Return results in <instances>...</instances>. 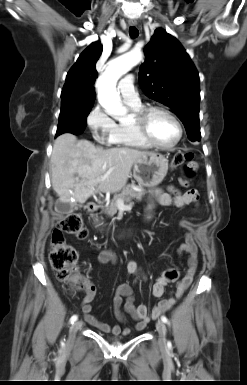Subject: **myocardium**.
Returning a JSON list of instances; mask_svg holds the SVG:
<instances>
[{
	"label": "myocardium",
	"instance_id": "obj_1",
	"mask_svg": "<svg viewBox=\"0 0 247 385\" xmlns=\"http://www.w3.org/2000/svg\"><path fill=\"white\" fill-rule=\"evenodd\" d=\"M157 112L167 115L169 118H171L173 120V122L175 123V125L177 127V130H178L177 138L171 144H168V145L159 144L153 140V138L151 137V135L149 133V129H148L149 119L154 113H157ZM133 126H134L135 130L138 132V134L140 135V137L149 146H152L154 148L161 149V150H169V149L174 148L175 146H177L179 144V142L181 141V139L183 137V127H182L180 120L171 111H169L168 109H166L164 107H160V106H150V107H145V108L141 109L135 115V118L133 121Z\"/></svg>",
	"mask_w": 247,
	"mask_h": 385
}]
</instances>
